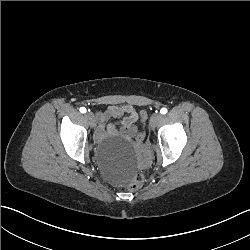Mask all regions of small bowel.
I'll list each match as a JSON object with an SVG mask.
<instances>
[{"mask_svg":"<svg viewBox=\"0 0 250 250\" xmlns=\"http://www.w3.org/2000/svg\"><path fill=\"white\" fill-rule=\"evenodd\" d=\"M125 117L120 121L119 125L107 121L110 117ZM137 119V111L132 105L110 106L106 111L99 115V126L97 127L94 137L100 141L106 134L112 136H122L126 139L133 138L137 135L138 128L135 125Z\"/></svg>","mask_w":250,"mask_h":250,"instance_id":"c3829d8e","label":"small bowel"}]
</instances>
